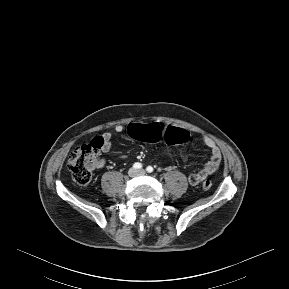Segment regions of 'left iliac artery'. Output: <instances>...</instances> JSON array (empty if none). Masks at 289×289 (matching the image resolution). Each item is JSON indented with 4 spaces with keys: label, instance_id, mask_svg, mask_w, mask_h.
<instances>
[{
    "label": "left iliac artery",
    "instance_id": "1",
    "mask_svg": "<svg viewBox=\"0 0 289 289\" xmlns=\"http://www.w3.org/2000/svg\"><path fill=\"white\" fill-rule=\"evenodd\" d=\"M146 170H147L148 173H152L153 172V167L152 166H148L146 168Z\"/></svg>",
    "mask_w": 289,
    "mask_h": 289
}]
</instances>
